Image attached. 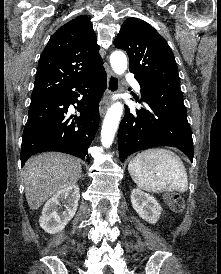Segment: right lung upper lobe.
<instances>
[{
    "instance_id": "obj_1",
    "label": "right lung upper lobe",
    "mask_w": 221,
    "mask_h": 274,
    "mask_svg": "<svg viewBox=\"0 0 221 274\" xmlns=\"http://www.w3.org/2000/svg\"><path fill=\"white\" fill-rule=\"evenodd\" d=\"M92 23L81 15L60 27L43 50L32 98L57 92L102 70Z\"/></svg>"
}]
</instances>
